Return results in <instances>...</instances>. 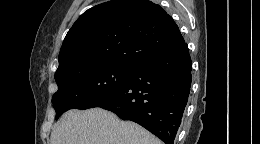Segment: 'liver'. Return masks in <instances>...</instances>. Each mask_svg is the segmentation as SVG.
Wrapping results in <instances>:
<instances>
[{"label": "liver", "instance_id": "6515ba94", "mask_svg": "<svg viewBox=\"0 0 260 144\" xmlns=\"http://www.w3.org/2000/svg\"><path fill=\"white\" fill-rule=\"evenodd\" d=\"M51 144H162L140 125L121 121L114 113L92 108L70 110L56 124Z\"/></svg>", "mask_w": 260, "mask_h": 144}]
</instances>
